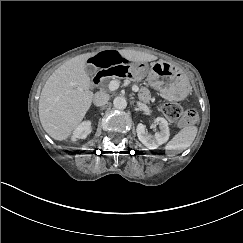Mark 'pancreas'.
I'll return each instance as SVG.
<instances>
[{"label": "pancreas", "instance_id": "1", "mask_svg": "<svg viewBox=\"0 0 243 243\" xmlns=\"http://www.w3.org/2000/svg\"><path fill=\"white\" fill-rule=\"evenodd\" d=\"M137 96L141 101H143V103L150 104L151 101L150 92L146 87L141 88Z\"/></svg>", "mask_w": 243, "mask_h": 243}]
</instances>
